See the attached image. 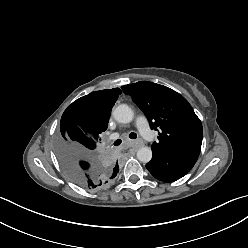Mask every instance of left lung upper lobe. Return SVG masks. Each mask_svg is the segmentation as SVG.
I'll return each mask as SVG.
<instances>
[{"instance_id":"left-lung-upper-lobe-1","label":"left lung upper lobe","mask_w":248,"mask_h":248,"mask_svg":"<svg viewBox=\"0 0 248 248\" xmlns=\"http://www.w3.org/2000/svg\"><path fill=\"white\" fill-rule=\"evenodd\" d=\"M159 133L152 151L171 153L201 150L202 124L188 101L176 91L149 81L121 87Z\"/></svg>"}]
</instances>
